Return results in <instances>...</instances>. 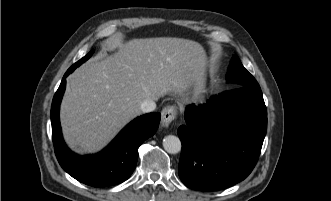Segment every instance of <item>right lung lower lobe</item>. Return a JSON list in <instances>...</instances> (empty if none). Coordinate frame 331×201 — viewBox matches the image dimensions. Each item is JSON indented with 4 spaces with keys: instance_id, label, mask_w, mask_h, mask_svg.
Masks as SVG:
<instances>
[{
    "instance_id": "1",
    "label": "right lung lower lobe",
    "mask_w": 331,
    "mask_h": 201,
    "mask_svg": "<svg viewBox=\"0 0 331 201\" xmlns=\"http://www.w3.org/2000/svg\"><path fill=\"white\" fill-rule=\"evenodd\" d=\"M68 70L54 95L51 106L52 138L55 154L61 167L76 180L93 186L105 187L127 180L133 173L139 146L155 134L161 114L154 112L137 117L100 153L79 156L64 143L59 108L65 91Z\"/></svg>"
}]
</instances>
